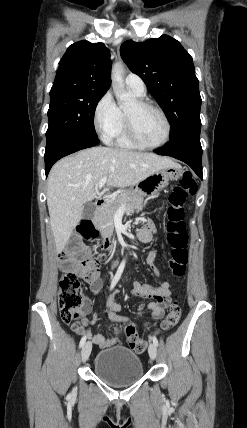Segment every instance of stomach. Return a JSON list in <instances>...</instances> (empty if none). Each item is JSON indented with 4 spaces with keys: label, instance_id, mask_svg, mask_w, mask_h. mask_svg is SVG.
Segmentation results:
<instances>
[{
    "label": "stomach",
    "instance_id": "obj_1",
    "mask_svg": "<svg viewBox=\"0 0 247 428\" xmlns=\"http://www.w3.org/2000/svg\"><path fill=\"white\" fill-rule=\"evenodd\" d=\"M183 175L181 166L163 168L136 185L143 195L153 197L168 186L170 181L179 180Z\"/></svg>",
    "mask_w": 247,
    "mask_h": 428
}]
</instances>
